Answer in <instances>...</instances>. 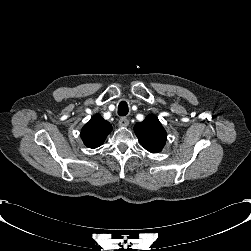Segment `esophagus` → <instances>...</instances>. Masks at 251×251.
Wrapping results in <instances>:
<instances>
[{"label": "esophagus", "instance_id": "1", "mask_svg": "<svg viewBox=\"0 0 251 251\" xmlns=\"http://www.w3.org/2000/svg\"><path fill=\"white\" fill-rule=\"evenodd\" d=\"M119 125L123 126V127H126V126L129 125V120L126 117H121L119 119Z\"/></svg>", "mask_w": 251, "mask_h": 251}]
</instances>
